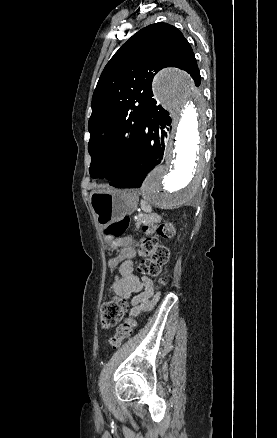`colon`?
I'll use <instances>...</instances> for the list:
<instances>
[{
	"instance_id": "colon-1",
	"label": "colon",
	"mask_w": 277,
	"mask_h": 438,
	"mask_svg": "<svg viewBox=\"0 0 277 438\" xmlns=\"http://www.w3.org/2000/svg\"><path fill=\"white\" fill-rule=\"evenodd\" d=\"M131 225L130 218L125 216L122 219L112 223L106 228V233L113 238H120L125 235ZM145 234L139 253L143 256H149L139 264V272L143 275L150 276L157 280L159 286L165 283L164 279H159L162 266L169 262L168 248L159 243V237H171L174 233V225L171 222H161L156 219L146 218L141 225ZM116 246V245H115ZM125 300L112 297L107 299L101 310L100 322L104 328L115 327L126 312ZM136 325V320L130 318L118 326L117 332L110 337V343L113 347L121 345L122 341L129 338Z\"/></svg>"
}]
</instances>
